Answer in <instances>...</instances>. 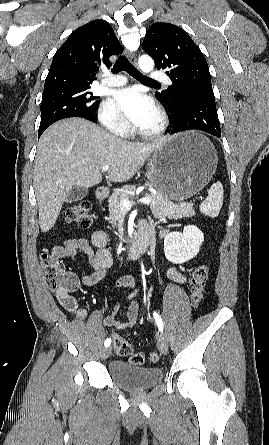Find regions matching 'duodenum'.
<instances>
[{
    "mask_svg": "<svg viewBox=\"0 0 269 445\" xmlns=\"http://www.w3.org/2000/svg\"><path fill=\"white\" fill-rule=\"evenodd\" d=\"M97 197L99 200L106 199L107 191L103 188L98 189ZM150 243V232L147 230L140 231L137 238L133 242L125 246L124 253L127 258L135 259L148 250Z\"/></svg>",
    "mask_w": 269,
    "mask_h": 445,
    "instance_id": "duodenum-1",
    "label": "duodenum"
}]
</instances>
